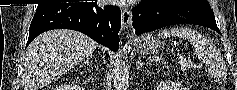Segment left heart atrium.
<instances>
[{"label":"left heart atrium","instance_id":"obj_1","mask_svg":"<svg viewBox=\"0 0 237 90\" xmlns=\"http://www.w3.org/2000/svg\"><path fill=\"white\" fill-rule=\"evenodd\" d=\"M117 7H132L133 3H141L142 0H116Z\"/></svg>","mask_w":237,"mask_h":90}]
</instances>
